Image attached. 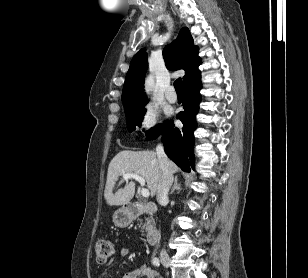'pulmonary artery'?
Returning <instances> with one entry per match:
<instances>
[{"instance_id": "1", "label": "pulmonary artery", "mask_w": 308, "mask_h": 278, "mask_svg": "<svg viewBox=\"0 0 308 278\" xmlns=\"http://www.w3.org/2000/svg\"><path fill=\"white\" fill-rule=\"evenodd\" d=\"M165 95H166V99L170 103H175L177 101V95H176L174 88L172 86L167 88Z\"/></svg>"}]
</instances>
